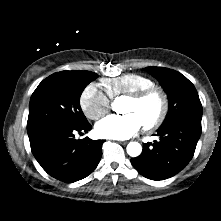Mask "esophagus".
Returning a JSON list of instances; mask_svg holds the SVG:
<instances>
[{"mask_svg": "<svg viewBox=\"0 0 221 221\" xmlns=\"http://www.w3.org/2000/svg\"><path fill=\"white\" fill-rule=\"evenodd\" d=\"M120 144L126 145L128 142L127 141H119Z\"/></svg>", "mask_w": 221, "mask_h": 221, "instance_id": "34e87169", "label": "esophagus"}]
</instances>
